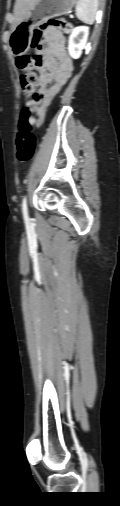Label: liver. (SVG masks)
Wrapping results in <instances>:
<instances>
[{
  "label": "liver",
  "mask_w": 120,
  "mask_h": 506,
  "mask_svg": "<svg viewBox=\"0 0 120 506\" xmlns=\"http://www.w3.org/2000/svg\"><path fill=\"white\" fill-rule=\"evenodd\" d=\"M39 0H16L14 5L13 28L18 25Z\"/></svg>",
  "instance_id": "1"
}]
</instances>
